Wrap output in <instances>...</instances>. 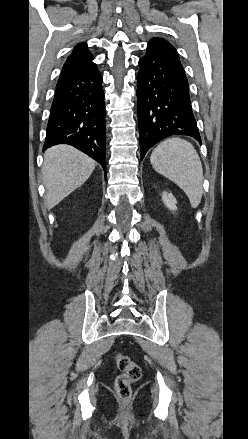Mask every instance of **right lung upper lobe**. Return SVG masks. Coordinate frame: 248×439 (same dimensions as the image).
<instances>
[{
  "instance_id": "right-lung-upper-lobe-1",
  "label": "right lung upper lobe",
  "mask_w": 248,
  "mask_h": 439,
  "mask_svg": "<svg viewBox=\"0 0 248 439\" xmlns=\"http://www.w3.org/2000/svg\"><path fill=\"white\" fill-rule=\"evenodd\" d=\"M93 55L88 51L86 43H80L75 46L72 54L68 57L65 62L59 80L79 73L86 68L90 67L94 63Z\"/></svg>"
}]
</instances>
